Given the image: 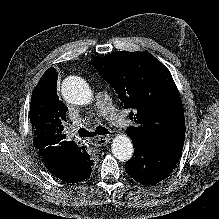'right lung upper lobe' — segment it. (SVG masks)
<instances>
[{
    "mask_svg": "<svg viewBox=\"0 0 219 219\" xmlns=\"http://www.w3.org/2000/svg\"><path fill=\"white\" fill-rule=\"evenodd\" d=\"M57 73L54 67L49 68L33 90L30 105L33 144L46 167L56 177L71 182L75 162L69 159L68 153L76 150L91 162L90 156L83 147L65 140L63 124L66 122L67 106L59 100L56 90Z\"/></svg>",
    "mask_w": 219,
    "mask_h": 219,
    "instance_id": "obj_1",
    "label": "right lung upper lobe"
}]
</instances>
